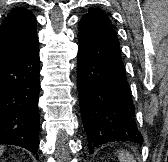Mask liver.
<instances>
[{"label": "liver", "instance_id": "liver-1", "mask_svg": "<svg viewBox=\"0 0 168 162\" xmlns=\"http://www.w3.org/2000/svg\"><path fill=\"white\" fill-rule=\"evenodd\" d=\"M2 151H3V147L1 146V147H0V153H1Z\"/></svg>", "mask_w": 168, "mask_h": 162}]
</instances>
